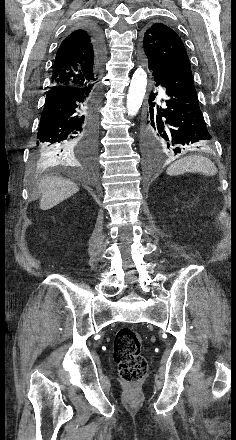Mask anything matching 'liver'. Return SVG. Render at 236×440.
Returning <instances> with one entry per match:
<instances>
[{"label":"liver","instance_id":"obj_1","mask_svg":"<svg viewBox=\"0 0 236 440\" xmlns=\"http://www.w3.org/2000/svg\"><path fill=\"white\" fill-rule=\"evenodd\" d=\"M40 208L49 210L79 191L78 186L67 179L45 177L39 184Z\"/></svg>","mask_w":236,"mask_h":440}]
</instances>
